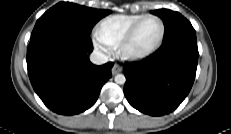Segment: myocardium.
Wrapping results in <instances>:
<instances>
[{"mask_svg": "<svg viewBox=\"0 0 231 134\" xmlns=\"http://www.w3.org/2000/svg\"><path fill=\"white\" fill-rule=\"evenodd\" d=\"M150 18H155L157 20H159V22L161 23V35L157 41V43L148 51L143 52V53H132L129 51V47L132 43V41L134 40L140 26L143 24L144 21H146L147 19ZM165 33H166V25L164 20L155 14H147L145 16H143L141 19H139L128 31V33L126 34V36L123 38V40L121 41L120 45L118 46V51L119 54L121 55V57L127 61H141L144 59L149 58L150 56H152L154 53H156L158 51V49L161 47L164 38H165Z\"/></svg>", "mask_w": 231, "mask_h": 134, "instance_id": "f54148a6", "label": "myocardium"}]
</instances>
